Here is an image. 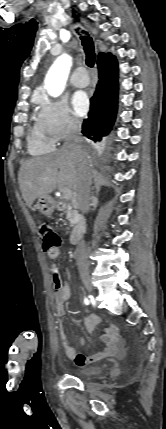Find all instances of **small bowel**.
I'll return each instance as SVG.
<instances>
[{
	"label": "small bowel",
	"instance_id": "small-bowel-1",
	"mask_svg": "<svg viewBox=\"0 0 166 429\" xmlns=\"http://www.w3.org/2000/svg\"><path fill=\"white\" fill-rule=\"evenodd\" d=\"M47 254L50 259L55 260L59 257L60 251L56 248L47 252ZM49 271L51 274L53 295L55 299V312L56 315L61 318L66 312L65 302L71 295L70 277L68 272L62 274L55 264L50 265ZM100 321L101 319L97 315L90 314L84 319V325L88 331H93ZM59 336L65 354L68 358L73 360L78 367H84L121 351L118 344V330L114 325L107 327L104 333L100 336L103 348L90 355L78 353L75 348L68 343L67 336L61 322L59 323ZM80 342L83 346L89 347L83 338L80 339Z\"/></svg>",
	"mask_w": 166,
	"mask_h": 429
}]
</instances>
